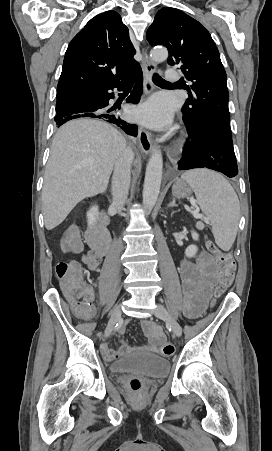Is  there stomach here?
<instances>
[{"label":"stomach","mask_w":272,"mask_h":451,"mask_svg":"<svg viewBox=\"0 0 272 451\" xmlns=\"http://www.w3.org/2000/svg\"><path fill=\"white\" fill-rule=\"evenodd\" d=\"M172 192L175 198H186V196L192 194L191 188H188L186 182H182V180H177V182L173 184Z\"/></svg>","instance_id":"0dacf381"}]
</instances>
